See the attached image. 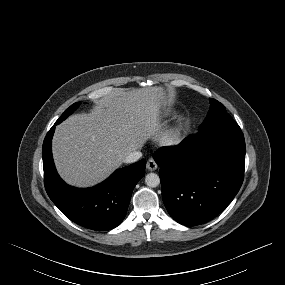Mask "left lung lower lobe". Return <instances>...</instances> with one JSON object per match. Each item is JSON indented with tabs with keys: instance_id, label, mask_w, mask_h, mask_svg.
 I'll list each match as a JSON object with an SVG mask.
<instances>
[{
	"instance_id": "1",
	"label": "left lung lower lobe",
	"mask_w": 285,
	"mask_h": 285,
	"mask_svg": "<svg viewBox=\"0 0 285 285\" xmlns=\"http://www.w3.org/2000/svg\"><path fill=\"white\" fill-rule=\"evenodd\" d=\"M242 131L191 134L154 154L161 167L162 198L171 217L185 226L206 223L220 214L244 179Z\"/></svg>"
}]
</instances>
